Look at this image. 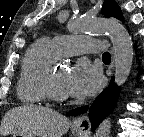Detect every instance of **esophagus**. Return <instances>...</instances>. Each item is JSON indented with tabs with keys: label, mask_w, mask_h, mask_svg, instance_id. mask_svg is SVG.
I'll use <instances>...</instances> for the list:
<instances>
[{
	"label": "esophagus",
	"mask_w": 144,
	"mask_h": 137,
	"mask_svg": "<svg viewBox=\"0 0 144 137\" xmlns=\"http://www.w3.org/2000/svg\"><path fill=\"white\" fill-rule=\"evenodd\" d=\"M73 127L85 133L89 132L91 129V122L88 114L75 118L73 121Z\"/></svg>",
	"instance_id": "34e87169"
}]
</instances>
